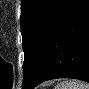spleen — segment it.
<instances>
[{
  "instance_id": "1",
  "label": "spleen",
  "mask_w": 89,
  "mask_h": 89,
  "mask_svg": "<svg viewBox=\"0 0 89 89\" xmlns=\"http://www.w3.org/2000/svg\"><path fill=\"white\" fill-rule=\"evenodd\" d=\"M57 89H88V85L79 80H67L59 83Z\"/></svg>"
}]
</instances>
